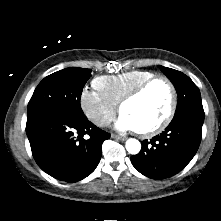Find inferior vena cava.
Returning <instances> with one entry per match:
<instances>
[{"instance_id": "1", "label": "inferior vena cava", "mask_w": 221, "mask_h": 221, "mask_svg": "<svg viewBox=\"0 0 221 221\" xmlns=\"http://www.w3.org/2000/svg\"><path fill=\"white\" fill-rule=\"evenodd\" d=\"M110 124V120L107 119V118H101L99 121H98V125L99 126H108Z\"/></svg>"}]
</instances>
